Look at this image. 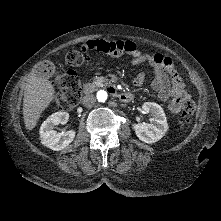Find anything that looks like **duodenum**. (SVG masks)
Masks as SVG:
<instances>
[{
    "label": "duodenum",
    "instance_id": "1",
    "mask_svg": "<svg viewBox=\"0 0 221 221\" xmlns=\"http://www.w3.org/2000/svg\"><path fill=\"white\" fill-rule=\"evenodd\" d=\"M94 90L92 84H86L84 87V94L89 95ZM109 92L116 96L120 101L128 103L134 99V95L130 92H118L113 87H109Z\"/></svg>",
    "mask_w": 221,
    "mask_h": 221
}]
</instances>
